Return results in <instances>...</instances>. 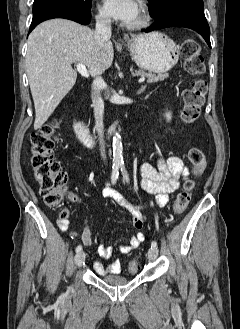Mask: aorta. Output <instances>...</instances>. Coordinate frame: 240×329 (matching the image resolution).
Instances as JSON below:
<instances>
[{
    "label": "aorta",
    "mask_w": 240,
    "mask_h": 329,
    "mask_svg": "<svg viewBox=\"0 0 240 329\" xmlns=\"http://www.w3.org/2000/svg\"><path fill=\"white\" fill-rule=\"evenodd\" d=\"M113 148V163L114 165L121 166L123 165V146L121 142V136L118 132L113 136L112 141Z\"/></svg>",
    "instance_id": "obj_1"
}]
</instances>
